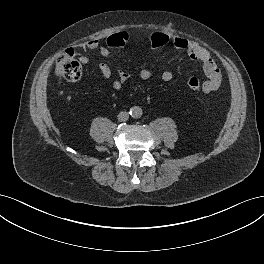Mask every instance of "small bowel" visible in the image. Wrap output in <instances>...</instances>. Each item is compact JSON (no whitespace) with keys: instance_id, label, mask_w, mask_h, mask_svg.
Returning <instances> with one entry per match:
<instances>
[{"instance_id":"small-bowel-1","label":"small bowel","mask_w":264,"mask_h":264,"mask_svg":"<svg viewBox=\"0 0 264 264\" xmlns=\"http://www.w3.org/2000/svg\"><path fill=\"white\" fill-rule=\"evenodd\" d=\"M170 42L175 49L185 51L190 59L198 61L201 64L203 73L206 77V80L204 81L206 84V88L204 90L205 93H210L219 88L222 76L214 59L206 49L201 47L195 41L181 36L170 37ZM93 50H98L100 55L104 58H109L111 55L110 48H108L106 44L102 45L100 40L96 38L78 45L76 49H69L73 55H79V61L84 65L89 62V57L86 52ZM99 71L106 79L112 76V69L107 63H100ZM132 76L133 74L128 71L118 69L117 78L112 82V87L115 90L121 89L124 84L132 78ZM136 76L139 79L146 81L152 78L153 72L150 69L145 68L139 70ZM172 78L173 73L171 71L165 70L161 74V79L165 82L171 81Z\"/></svg>"}]
</instances>
